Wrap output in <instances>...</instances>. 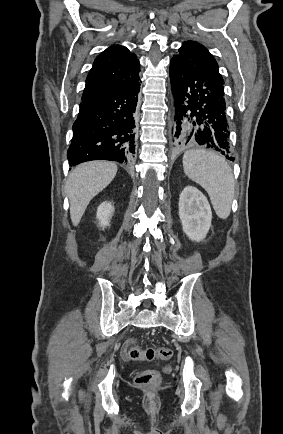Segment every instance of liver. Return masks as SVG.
Masks as SVG:
<instances>
[{
	"instance_id": "liver-1",
	"label": "liver",
	"mask_w": 283,
	"mask_h": 434,
	"mask_svg": "<svg viewBox=\"0 0 283 434\" xmlns=\"http://www.w3.org/2000/svg\"><path fill=\"white\" fill-rule=\"evenodd\" d=\"M117 165L105 161H91L78 165L69 175L65 193L70 200V217L77 226L89 202L114 179Z\"/></svg>"
}]
</instances>
